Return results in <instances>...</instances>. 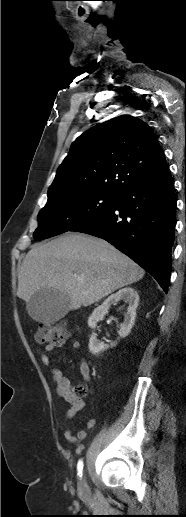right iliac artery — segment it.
I'll return each instance as SVG.
<instances>
[{"instance_id":"1","label":"right iliac artery","mask_w":186,"mask_h":517,"mask_svg":"<svg viewBox=\"0 0 186 517\" xmlns=\"http://www.w3.org/2000/svg\"><path fill=\"white\" fill-rule=\"evenodd\" d=\"M83 461L82 460H79L78 461V464H77V470H78V475L81 477L82 476V471H83Z\"/></svg>"}]
</instances>
